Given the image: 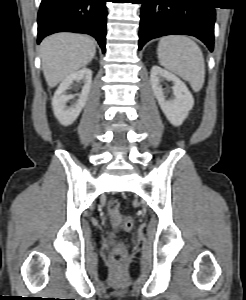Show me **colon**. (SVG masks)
<instances>
[{
	"mask_svg": "<svg viewBox=\"0 0 246 300\" xmlns=\"http://www.w3.org/2000/svg\"><path fill=\"white\" fill-rule=\"evenodd\" d=\"M107 210L116 227H119L124 231H128L133 227V220L131 217L119 214V203L117 200H110L107 204ZM125 258V248L122 245L116 246L111 253L112 261L120 263L123 262Z\"/></svg>",
	"mask_w": 246,
	"mask_h": 300,
	"instance_id": "colon-1",
	"label": "colon"
}]
</instances>
